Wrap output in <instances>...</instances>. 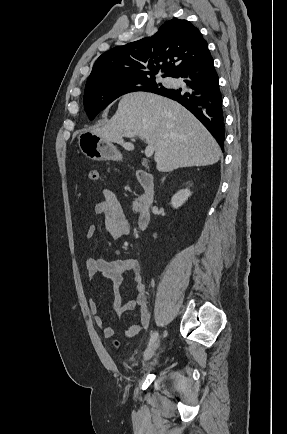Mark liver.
I'll return each mask as SVG.
<instances>
[{
  "instance_id": "1",
  "label": "liver",
  "mask_w": 287,
  "mask_h": 434,
  "mask_svg": "<svg viewBox=\"0 0 287 434\" xmlns=\"http://www.w3.org/2000/svg\"><path fill=\"white\" fill-rule=\"evenodd\" d=\"M109 142L134 149L125 142L132 132L155 148L154 159L160 172L217 163L221 150L207 129L182 105L147 92L122 97L115 115L102 127L91 130Z\"/></svg>"
}]
</instances>
